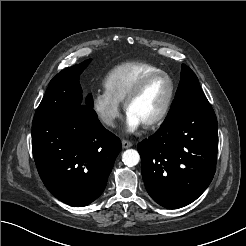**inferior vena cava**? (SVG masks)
Masks as SVG:
<instances>
[{
	"mask_svg": "<svg viewBox=\"0 0 246 246\" xmlns=\"http://www.w3.org/2000/svg\"><path fill=\"white\" fill-rule=\"evenodd\" d=\"M104 123H106L109 126H113V119L110 117H106L103 119Z\"/></svg>",
	"mask_w": 246,
	"mask_h": 246,
	"instance_id": "obj_1",
	"label": "inferior vena cava"
}]
</instances>
